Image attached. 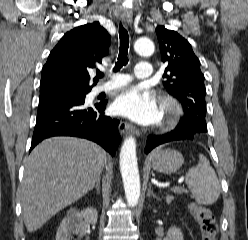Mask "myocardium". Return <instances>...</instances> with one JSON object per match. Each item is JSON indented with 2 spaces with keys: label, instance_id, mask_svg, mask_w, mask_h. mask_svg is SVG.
<instances>
[{
  "label": "myocardium",
  "instance_id": "1",
  "mask_svg": "<svg viewBox=\"0 0 248 240\" xmlns=\"http://www.w3.org/2000/svg\"><path fill=\"white\" fill-rule=\"evenodd\" d=\"M160 110V127L162 129H171L176 127L184 115L181 103L174 96L168 94L161 97Z\"/></svg>",
  "mask_w": 248,
  "mask_h": 240
}]
</instances>
